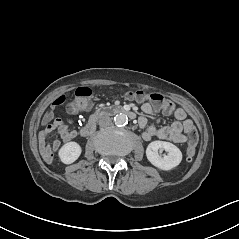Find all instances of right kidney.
<instances>
[{
    "label": "right kidney",
    "instance_id": "right-kidney-1",
    "mask_svg": "<svg viewBox=\"0 0 239 239\" xmlns=\"http://www.w3.org/2000/svg\"><path fill=\"white\" fill-rule=\"evenodd\" d=\"M82 153L81 146L72 141V143H65L60 148V155L65 160H73L74 162L78 160Z\"/></svg>",
    "mask_w": 239,
    "mask_h": 239
}]
</instances>
